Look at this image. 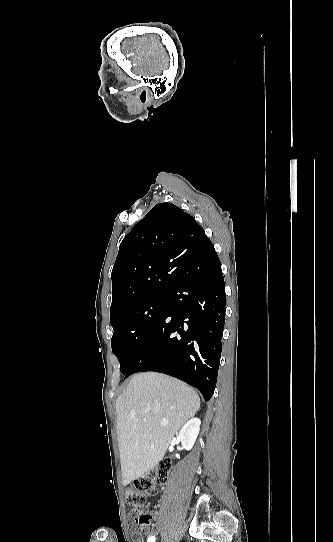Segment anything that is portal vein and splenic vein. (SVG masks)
Masks as SVG:
<instances>
[{"label":"portal vein and splenic vein","instance_id":"18ae733b","mask_svg":"<svg viewBox=\"0 0 333 542\" xmlns=\"http://www.w3.org/2000/svg\"><path fill=\"white\" fill-rule=\"evenodd\" d=\"M143 422H146V420H143ZM161 426H168V422H160Z\"/></svg>","mask_w":333,"mask_h":542}]
</instances>
